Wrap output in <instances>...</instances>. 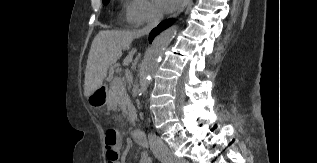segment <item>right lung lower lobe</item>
I'll use <instances>...</instances> for the list:
<instances>
[{
	"label": "right lung lower lobe",
	"instance_id": "98d812e1",
	"mask_svg": "<svg viewBox=\"0 0 317 163\" xmlns=\"http://www.w3.org/2000/svg\"><path fill=\"white\" fill-rule=\"evenodd\" d=\"M172 20H165L161 22L155 29H153L149 35V41L151 42L153 38L163 29L167 28V26L172 24Z\"/></svg>",
	"mask_w": 317,
	"mask_h": 163
}]
</instances>
